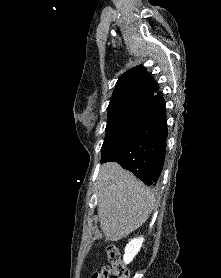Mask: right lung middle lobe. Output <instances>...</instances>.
Segmentation results:
<instances>
[{"label": "right lung middle lobe", "instance_id": "dd1d6c3e", "mask_svg": "<svg viewBox=\"0 0 221 278\" xmlns=\"http://www.w3.org/2000/svg\"><path fill=\"white\" fill-rule=\"evenodd\" d=\"M154 109L144 103L129 104L108 112L106 137L102 146V158L128 138Z\"/></svg>", "mask_w": 221, "mask_h": 278}]
</instances>
